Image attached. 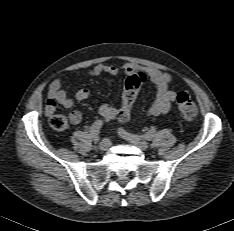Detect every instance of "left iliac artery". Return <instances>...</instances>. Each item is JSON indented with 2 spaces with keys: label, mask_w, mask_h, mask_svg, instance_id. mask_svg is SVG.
I'll use <instances>...</instances> for the list:
<instances>
[{
  "label": "left iliac artery",
  "mask_w": 234,
  "mask_h": 231,
  "mask_svg": "<svg viewBox=\"0 0 234 231\" xmlns=\"http://www.w3.org/2000/svg\"><path fill=\"white\" fill-rule=\"evenodd\" d=\"M118 133L121 137L127 139V140H132V139H140L141 137L146 139V140H151L155 134H156V129L155 128H152L150 129L148 132H146L144 135L142 136H137V135H134V134H131V133H128L126 130L122 129V128H119L118 129Z\"/></svg>",
  "instance_id": "obj_1"
}]
</instances>
